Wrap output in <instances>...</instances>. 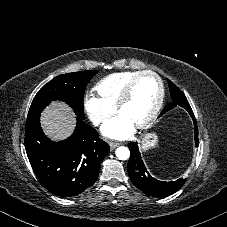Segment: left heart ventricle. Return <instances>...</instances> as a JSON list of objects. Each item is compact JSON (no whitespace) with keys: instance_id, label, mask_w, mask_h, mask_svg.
Returning a JSON list of instances; mask_svg holds the SVG:
<instances>
[{"instance_id":"b2bd125f","label":"left heart ventricle","mask_w":227,"mask_h":227,"mask_svg":"<svg viewBox=\"0 0 227 227\" xmlns=\"http://www.w3.org/2000/svg\"><path fill=\"white\" fill-rule=\"evenodd\" d=\"M159 93L157 80L151 75L139 78L131 98L123 105L120 114L133 125L144 121L153 109Z\"/></svg>"}]
</instances>
